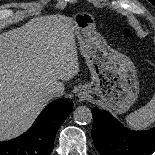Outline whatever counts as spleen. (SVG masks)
Wrapping results in <instances>:
<instances>
[{
  "instance_id": "obj_1",
  "label": "spleen",
  "mask_w": 155,
  "mask_h": 155,
  "mask_svg": "<svg viewBox=\"0 0 155 155\" xmlns=\"http://www.w3.org/2000/svg\"><path fill=\"white\" fill-rule=\"evenodd\" d=\"M127 125L134 129H146L155 122V94L151 100L125 118Z\"/></svg>"
}]
</instances>
